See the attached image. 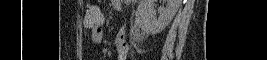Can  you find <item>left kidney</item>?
<instances>
[{
  "instance_id": "left-kidney-1",
  "label": "left kidney",
  "mask_w": 267,
  "mask_h": 60,
  "mask_svg": "<svg viewBox=\"0 0 267 60\" xmlns=\"http://www.w3.org/2000/svg\"><path fill=\"white\" fill-rule=\"evenodd\" d=\"M181 0H167L166 8H154V0H141L136 11V22L147 33L157 34L172 21L179 9Z\"/></svg>"
}]
</instances>
